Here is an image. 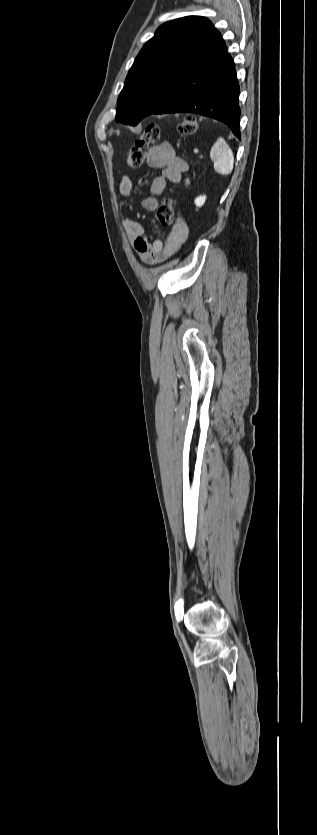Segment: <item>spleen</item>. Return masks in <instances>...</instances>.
Segmentation results:
<instances>
[{
	"instance_id": "1",
	"label": "spleen",
	"mask_w": 317,
	"mask_h": 835,
	"mask_svg": "<svg viewBox=\"0 0 317 835\" xmlns=\"http://www.w3.org/2000/svg\"><path fill=\"white\" fill-rule=\"evenodd\" d=\"M214 170L223 176L229 175L234 167V155L224 138L219 137L210 151Z\"/></svg>"
}]
</instances>
